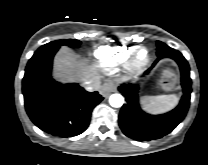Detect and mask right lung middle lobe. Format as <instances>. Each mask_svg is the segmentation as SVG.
Here are the masks:
<instances>
[{
	"instance_id": "obj_1",
	"label": "right lung middle lobe",
	"mask_w": 208,
	"mask_h": 165,
	"mask_svg": "<svg viewBox=\"0 0 208 165\" xmlns=\"http://www.w3.org/2000/svg\"><path fill=\"white\" fill-rule=\"evenodd\" d=\"M81 42L79 40L76 39H68V40H56V41H52L50 43H47L43 46H41L35 53L34 55H38L43 53L46 50L55 48V47H60L62 45H68L70 47L73 48H78L80 46Z\"/></svg>"
}]
</instances>
